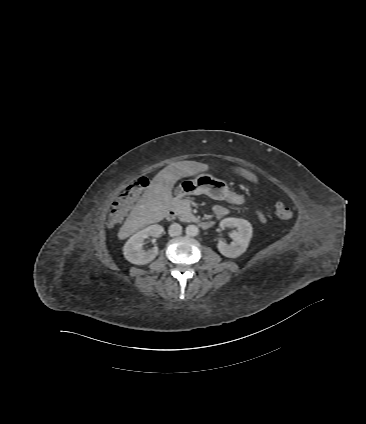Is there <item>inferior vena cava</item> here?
<instances>
[{
	"instance_id": "obj_1",
	"label": "inferior vena cava",
	"mask_w": 366,
	"mask_h": 424,
	"mask_svg": "<svg viewBox=\"0 0 366 424\" xmlns=\"http://www.w3.org/2000/svg\"><path fill=\"white\" fill-rule=\"evenodd\" d=\"M182 233V226L178 223H173L169 227V235L172 237L179 236Z\"/></svg>"
}]
</instances>
